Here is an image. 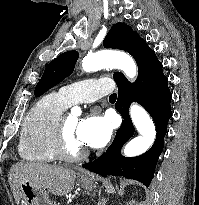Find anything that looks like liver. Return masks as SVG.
Here are the masks:
<instances>
[{
  "label": "liver",
  "mask_w": 199,
  "mask_h": 205,
  "mask_svg": "<svg viewBox=\"0 0 199 205\" xmlns=\"http://www.w3.org/2000/svg\"><path fill=\"white\" fill-rule=\"evenodd\" d=\"M75 179L74 170L45 163L19 162L9 171V183L17 204L21 199L23 181H30L55 196H64L73 189Z\"/></svg>",
  "instance_id": "obj_1"
}]
</instances>
